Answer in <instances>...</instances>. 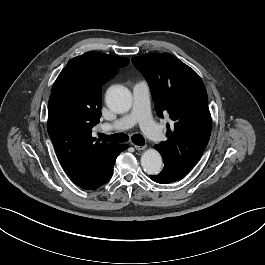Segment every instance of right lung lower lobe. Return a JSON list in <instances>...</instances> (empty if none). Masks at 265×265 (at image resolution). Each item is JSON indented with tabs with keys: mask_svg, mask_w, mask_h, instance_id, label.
<instances>
[{
	"mask_svg": "<svg viewBox=\"0 0 265 265\" xmlns=\"http://www.w3.org/2000/svg\"><path fill=\"white\" fill-rule=\"evenodd\" d=\"M126 147L124 144H115L99 151L80 170L70 174L71 179L85 190L99 188L111 178L115 160Z\"/></svg>",
	"mask_w": 265,
	"mask_h": 265,
	"instance_id": "obj_1",
	"label": "right lung lower lobe"
}]
</instances>
